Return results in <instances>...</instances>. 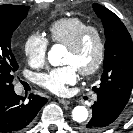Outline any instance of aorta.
<instances>
[{"label": "aorta", "instance_id": "1", "mask_svg": "<svg viewBox=\"0 0 133 133\" xmlns=\"http://www.w3.org/2000/svg\"><path fill=\"white\" fill-rule=\"evenodd\" d=\"M63 49L61 46L55 45L48 52V61L52 66H59L61 64ZM88 110L84 106H76L72 110V119L76 123H84L88 119Z\"/></svg>", "mask_w": 133, "mask_h": 133}]
</instances>
